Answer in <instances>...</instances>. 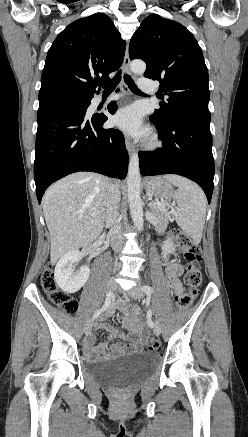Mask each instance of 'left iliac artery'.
Masks as SVG:
<instances>
[{
	"label": "left iliac artery",
	"instance_id": "44dca946",
	"mask_svg": "<svg viewBox=\"0 0 248 437\" xmlns=\"http://www.w3.org/2000/svg\"><path fill=\"white\" fill-rule=\"evenodd\" d=\"M141 289H142L145 293H147V294H150V293H153V292H154L153 288L150 287L149 285H144V286L141 287ZM151 316H152V311L150 310V311H148V325H149L151 328H153V327H154V322L152 321Z\"/></svg>",
	"mask_w": 248,
	"mask_h": 437
}]
</instances>
